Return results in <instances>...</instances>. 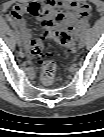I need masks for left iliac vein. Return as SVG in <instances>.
Masks as SVG:
<instances>
[{
    "label": "left iliac vein",
    "instance_id": "obj_1",
    "mask_svg": "<svg viewBox=\"0 0 104 137\" xmlns=\"http://www.w3.org/2000/svg\"><path fill=\"white\" fill-rule=\"evenodd\" d=\"M85 45V41L83 39V37L81 36L79 39H78V47L79 48H83Z\"/></svg>",
    "mask_w": 104,
    "mask_h": 137
}]
</instances>
